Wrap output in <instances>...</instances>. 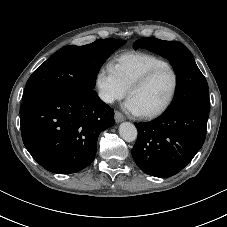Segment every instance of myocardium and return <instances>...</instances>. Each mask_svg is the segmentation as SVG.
<instances>
[{
    "label": "myocardium",
    "instance_id": "myocardium-1",
    "mask_svg": "<svg viewBox=\"0 0 227 227\" xmlns=\"http://www.w3.org/2000/svg\"><path fill=\"white\" fill-rule=\"evenodd\" d=\"M163 70H169L172 73L173 78H174L173 89H172L171 94H170L169 98L167 99V101L160 108H158V109H156V110H154L152 112L141 113L140 114L141 117H143L145 119L156 118V117L164 114L171 107V105L173 104V102H174V100L176 98L178 89H179V75H178L176 69L174 67H172L171 65H169V64L155 67V68L149 70L148 72H146L140 78H138L128 88V96L130 97V95L135 90L145 86L155 75H157L159 72H161Z\"/></svg>",
    "mask_w": 227,
    "mask_h": 227
}]
</instances>
